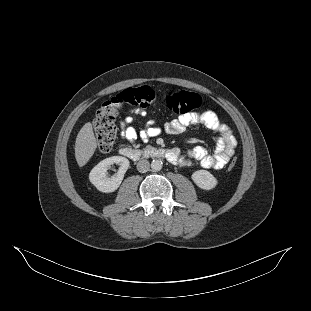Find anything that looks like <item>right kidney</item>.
Returning a JSON list of instances; mask_svg holds the SVG:
<instances>
[{"label":"right kidney","instance_id":"ca27d5eb","mask_svg":"<svg viewBox=\"0 0 311 311\" xmlns=\"http://www.w3.org/2000/svg\"><path fill=\"white\" fill-rule=\"evenodd\" d=\"M119 166L117 172L109 176L107 171L112 164ZM130 162L123 156H111L99 162L90 172V181L100 190L110 192L117 189L124 174L129 168Z\"/></svg>","mask_w":311,"mask_h":311}]
</instances>
